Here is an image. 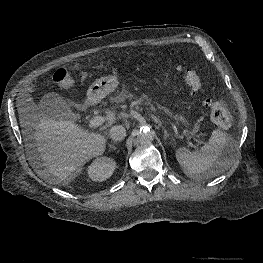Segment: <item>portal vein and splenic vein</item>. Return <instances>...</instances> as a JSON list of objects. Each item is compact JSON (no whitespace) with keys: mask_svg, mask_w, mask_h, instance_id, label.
I'll return each instance as SVG.
<instances>
[{"mask_svg":"<svg viewBox=\"0 0 263 263\" xmlns=\"http://www.w3.org/2000/svg\"><path fill=\"white\" fill-rule=\"evenodd\" d=\"M106 121L105 117L102 116H95L90 119L89 125L90 127H98L102 125ZM191 147H195L191 142L188 143Z\"/></svg>","mask_w":263,"mask_h":263,"instance_id":"obj_1","label":"portal vein and splenic vein"}]
</instances>
